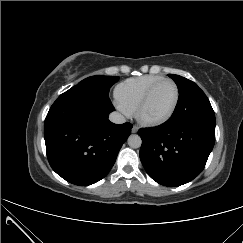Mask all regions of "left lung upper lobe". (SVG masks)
Here are the masks:
<instances>
[{
  "mask_svg": "<svg viewBox=\"0 0 243 243\" xmlns=\"http://www.w3.org/2000/svg\"><path fill=\"white\" fill-rule=\"evenodd\" d=\"M178 87L179 98L172 117L194 123L215 124L213 108L204 92L193 81L168 74Z\"/></svg>",
  "mask_w": 243,
  "mask_h": 243,
  "instance_id": "5c2ea615",
  "label": "left lung upper lobe"
}]
</instances>
